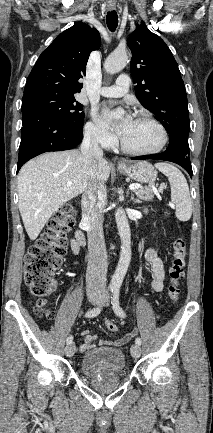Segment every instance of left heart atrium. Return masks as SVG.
I'll use <instances>...</instances> for the list:
<instances>
[{
	"label": "left heart atrium",
	"mask_w": 213,
	"mask_h": 433,
	"mask_svg": "<svg viewBox=\"0 0 213 433\" xmlns=\"http://www.w3.org/2000/svg\"><path fill=\"white\" fill-rule=\"evenodd\" d=\"M100 119H101L102 123H104L105 125H109L113 120L112 111L109 108H104L102 110ZM132 122H133V119L131 116H129V115L124 116L120 120L119 124L116 126L117 133L120 136H122L126 132V130L129 128V126L132 124Z\"/></svg>",
	"instance_id": "39dd6f15"
}]
</instances>
